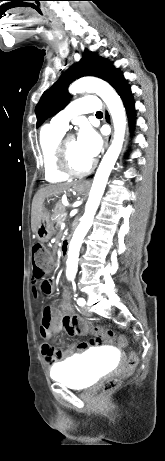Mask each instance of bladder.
Segmentation results:
<instances>
[{
	"label": "bladder",
	"instance_id": "1",
	"mask_svg": "<svg viewBox=\"0 0 165 461\" xmlns=\"http://www.w3.org/2000/svg\"><path fill=\"white\" fill-rule=\"evenodd\" d=\"M108 371L103 358L96 353L78 355L51 368V377L71 389L91 387Z\"/></svg>",
	"mask_w": 165,
	"mask_h": 461
}]
</instances>
